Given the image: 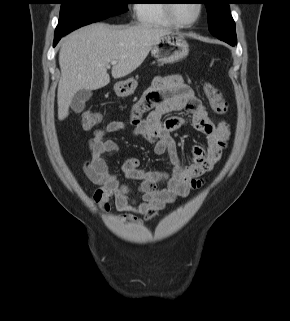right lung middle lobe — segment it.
<instances>
[{
	"instance_id": "right-lung-middle-lobe-1",
	"label": "right lung middle lobe",
	"mask_w": 290,
	"mask_h": 321,
	"mask_svg": "<svg viewBox=\"0 0 290 321\" xmlns=\"http://www.w3.org/2000/svg\"><path fill=\"white\" fill-rule=\"evenodd\" d=\"M61 10L55 35L67 33L127 11V0H60Z\"/></svg>"
}]
</instances>
